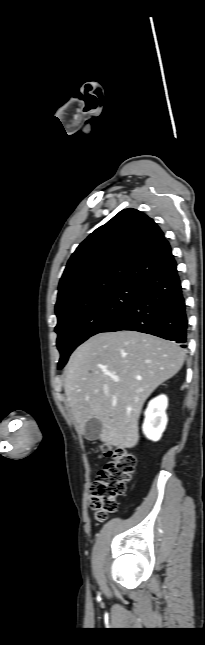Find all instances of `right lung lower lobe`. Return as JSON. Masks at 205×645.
Listing matches in <instances>:
<instances>
[{
	"mask_svg": "<svg viewBox=\"0 0 205 645\" xmlns=\"http://www.w3.org/2000/svg\"><path fill=\"white\" fill-rule=\"evenodd\" d=\"M188 320L176 262L138 284L135 302L101 332L134 330L186 348Z\"/></svg>",
	"mask_w": 205,
	"mask_h": 645,
	"instance_id": "1",
	"label": "right lung lower lobe"
}]
</instances>
